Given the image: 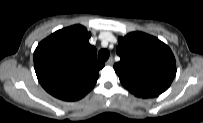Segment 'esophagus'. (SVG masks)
<instances>
[{
  "label": "esophagus",
  "instance_id": "obj_1",
  "mask_svg": "<svg viewBox=\"0 0 203 123\" xmlns=\"http://www.w3.org/2000/svg\"><path fill=\"white\" fill-rule=\"evenodd\" d=\"M113 63H114V60H113L112 57L109 58V59L106 61V65H113Z\"/></svg>",
  "mask_w": 203,
  "mask_h": 123
}]
</instances>
